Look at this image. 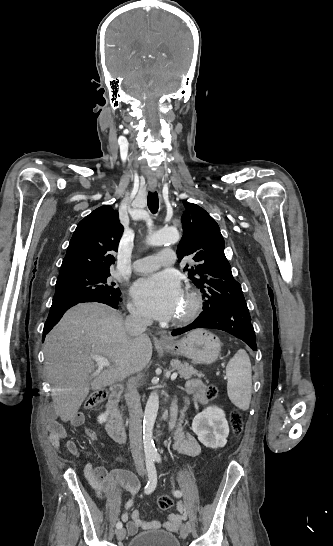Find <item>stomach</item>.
<instances>
[{"instance_id": "obj_1", "label": "stomach", "mask_w": 333, "mask_h": 546, "mask_svg": "<svg viewBox=\"0 0 333 546\" xmlns=\"http://www.w3.org/2000/svg\"><path fill=\"white\" fill-rule=\"evenodd\" d=\"M162 348L173 355H182L201 364H212L220 354L219 338L204 329L191 331L182 339L173 340Z\"/></svg>"}]
</instances>
